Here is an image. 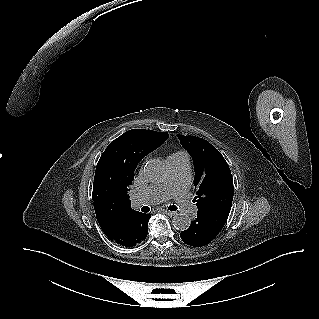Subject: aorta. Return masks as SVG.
Wrapping results in <instances>:
<instances>
[{
    "instance_id": "762f6f07",
    "label": "aorta",
    "mask_w": 319,
    "mask_h": 319,
    "mask_svg": "<svg viewBox=\"0 0 319 319\" xmlns=\"http://www.w3.org/2000/svg\"><path fill=\"white\" fill-rule=\"evenodd\" d=\"M167 168L164 162L159 159H151L144 166V175L153 182H159L166 177ZM191 220L184 213H177L173 216L172 224L177 230H187Z\"/></svg>"
}]
</instances>
